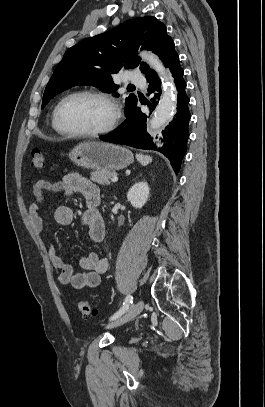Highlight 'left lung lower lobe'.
<instances>
[{
    "mask_svg": "<svg viewBox=\"0 0 265 407\" xmlns=\"http://www.w3.org/2000/svg\"><path fill=\"white\" fill-rule=\"evenodd\" d=\"M174 77V82L178 91L177 113L171 123L162 131V134L152 139L146 131L147 115L139 107L127 116L126 120L118 129L100 139L107 142H114L129 145L139 149L157 150L163 153L172 163L176 174L180 170L181 161L187 150V140L189 137L188 124L191 118L188 103L189 98L185 92L186 82L183 79L184 71L179 60L170 68ZM149 82V95L153 98L148 102L150 110L156 107L157 100L160 99L161 81L156 75L146 77Z\"/></svg>",
    "mask_w": 265,
    "mask_h": 407,
    "instance_id": "0a47b994",
    "label": "left lung lower lobe"
}]
</instances>
